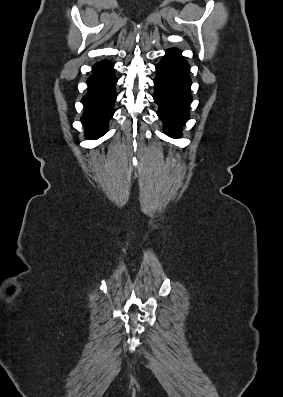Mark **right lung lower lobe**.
<instances>
[{
	"mask_svg": "<svg viewBox=\"0 0 283 397\" xmlns=\"http://www.w3.org/2000/svg\"><path fill=\"white\" fill-rule=\"evenodd\" d=\"M113 64L107 60L93 66V75L87 80L88 93L81 102L84 112L81 122L88 139H98L108 131L109 120L114 115V103L117 97L114 85L117 78L112 72Z\"/></svg>",
	"mask_w": 283,
	"mask_h": 397,
	"instance_id": "right-lung-lower-lobe-1",
	"label": "right lung lower lobe"
}]
</instances>
